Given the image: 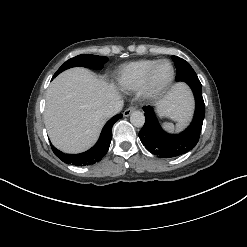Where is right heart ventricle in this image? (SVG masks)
Instances as JSON below:
<instances>
[{
	"label": "right heart ventricle",
	"mask_w": 247,
	"mask_h": 247,
	"mask_svg": "<svg viewBox=\"0 0 247 247\" xmlns=\"http://www.w3.org/2000/svg\"><path fill=\"white\" fill-rule=\"evenodd\" d=\"M156 59H140L122 65L116 74V84L123 90L139 89L146 72Z\"/></svg>",
	"instance_id": "right-heart-ventricle-1"
}]
</instances>
